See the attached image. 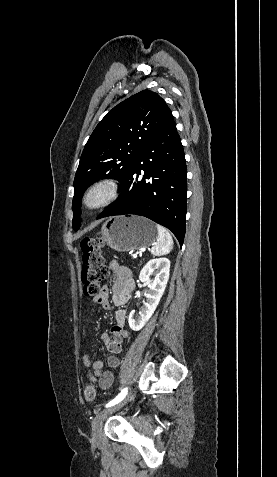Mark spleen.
Instances as JSON below:
<instances>
[{
	"mask_svg": "<svg viewBox=\"0 0 277 477\" xmlns=\"http://www.w3.org/2000/svg\"><path fill=\"white\" fill-rule=\"evenodd\" d=\"M158 238L155 246L151 248V253L154 256H162L168 254L173 248V239L170 233L163 227L157 224Z\"/></svg>",
	"mask_w": 277,
	"mask_h": 477,
	"instance_id": "spleen-1",
	"label": "spleen"
}]
</instances>
